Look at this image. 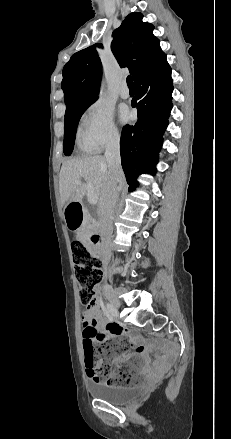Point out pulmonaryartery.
Listing matches in <instances>:
<instances>
[{
    "instance_id": "e3ab8cb5",
    "label": "pulmonary artery",
    "mask_w": 231,
    "mask_h": 439,
    "mask_svg": "<svg viewBox=\"0 0 231 439\" xmlns=\"http://www.w3.org/2000/svg\"><path fill=\"white\" fill-rule=\"evenodd\" d=\"M120 96L124 99L128 98L130 96L129 89L126 85V83H123L120 89Z\"/></svg>"
}]
</instances>
